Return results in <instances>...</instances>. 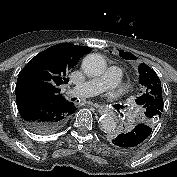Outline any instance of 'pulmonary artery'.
<instances>
[{
    "instance_id": "1",
    "label": "pulmonary artery",
    "mask_w": 177,
    "mask_h": 177,
    "mask_svg": "<svg viewBox=\"0 0 177 177\" xmlns=\"http://www.w3.org/2000/svg\"><path fill=\"white\" fill-rule=\"evenodd\" d=\"M122 76L123 72L118 66H110L104 75L76 85L68 93L78 98L91 97L105 90L115 88Z\"/></svg>"
}]
</instances>
